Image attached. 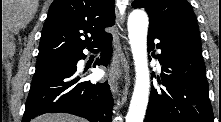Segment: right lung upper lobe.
<instances>
[{
	"label": "right lung upper lobe",
	"mask_w": 221,
	"mask_h": 122,
	"mask_svg": "<svg viewBox=\"0 0 221 122\" xmlns=\"http://www.w3.org/2000/svg\"><path fill=\"white\" fill-rule=\"evenodd\" d=\"M114 0H54L43 26L37 60L77 56L109 35Z\"/></svg>",
	"instance_id": "obj_1"
}]
</instances>
